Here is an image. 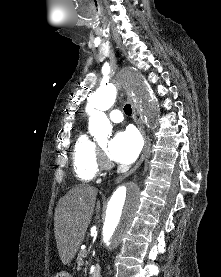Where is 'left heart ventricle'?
Segmentation results:
<instances>
[{
	"mask_svg": "<svg viewBox=\"0 0 221 277\" xmlns=\"http://www.w3.org/2000/svg\"><path fill=\"white\" fill-rule=\"evenodd\" d=\"M102 147H103V148H105V147H106V145H105V144H103V145H102Z\"/></svg>",
	"mask_w": 221,
	"mask_h": 277,
	"instance_id": "left-heart-ventricle-1",
	"label": "left heart ventricle"
}]
</instances>
